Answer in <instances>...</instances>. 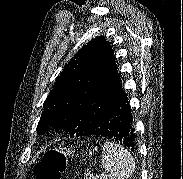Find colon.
Returning a JSON list of instances; mask_svg holds the SVG:
<instances>
[{
    "label": "colon",
    "mask_w": 183,
    "mask_h": 179,
    "mask_svg": "<svg viewBox=\"0 0 183 179\" xmlns=\"http://www.w3.org/2000/svg\"><path fill=\"white\" fill-rule=\"evenodd\" d=\"M71 152L64 148H53L46 151L36 165V179H61L68 165Z\"/></svg>",
    "instance_id": "5ec220e1"
}]
</instances>
